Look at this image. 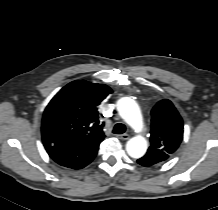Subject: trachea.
<instances>
[{"mask_svg": "<svg viewBox=\"0 0 218 210\" xmlns=\"http://www.w3.org/2000/svg\"><path fill=\"white\" fill-rule=\"evenodd\" d=\"M126 131V127L122 123H117L114 128H113V133L114 134H123Z\"/></svg>", "mask_w": 218, "mask_h": 210, "instance_id": "3493384b", "label": "trachea"}]
</instances>
